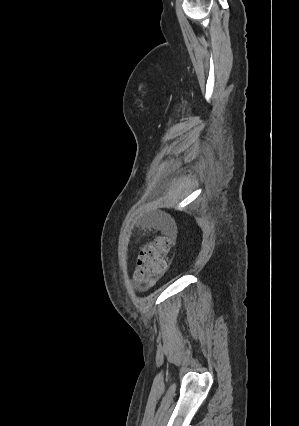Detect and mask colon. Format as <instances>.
Returning a JSON list of instances; mask_svg holds the SVG:
<instances>
[{
  "label": "colon",
  "mask_w": 299,
  "mask_h": 426,
  "mask_svg": "<svg viewBox=\"0 0 299 426\" xmlns=\"http://www.w3.org/2000/svg\"><path fill=\"white\" fill-rule=\"evenodd\" d=\"M171 246L172 242L168 237H161L155 244L141 250L135 271L136 284L141 290L153 286L157 277L162 274Z\"/></svg>",
  "instance_id": "obj_1"
}]
</instances>
